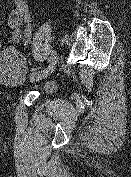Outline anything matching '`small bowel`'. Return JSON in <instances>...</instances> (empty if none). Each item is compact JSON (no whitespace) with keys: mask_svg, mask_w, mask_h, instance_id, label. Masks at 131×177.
<instances>
[{"mask_svg":"<svg viewBox=\"0 0 131 177\" xmlns=\"http://www.w3.org/2000/svg\"><path fill=\"white\" fill-rule=\"evenodd\" d=\"M10 3L12 10L7 21L8 43L15 44L21 40L28 42L32 34V19L28 2L27 0H10Z\"/></svg>","mask_w":131,"mask_h":177,"instance_id":"1","label":"small bowel"}]
</instances>
